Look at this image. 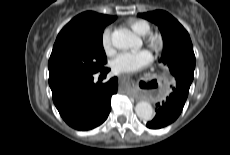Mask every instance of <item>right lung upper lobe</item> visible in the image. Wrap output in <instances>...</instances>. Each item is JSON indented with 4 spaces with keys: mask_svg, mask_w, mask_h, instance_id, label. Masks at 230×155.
I'll use <instances>...</instances> for the list:
<instances>
[{
    "mask_svg": "<svg viewBox=\"0 0 230 155\" xmlns=\"http://www.w3.org/2000/svg\"><path fill=\"white\" fill-rule=\"evenodd\" d=\"M115 19L116 16L98 14L93 11L83 12L64 26L58 34L55 44L68 41L80 42L95 40L102 36L106 25Z\"/></svg>",
    "mask_w": 230,
    "mask_h": 155,
    "instance_id": "1",
    "label": "right lung upper lobe"
}]
</instances>
